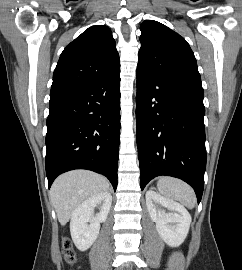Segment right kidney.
Here are the masks:
<instances>
[{
    "mask_svg": "<svg viewBox=\"0 0 242 270\" xmlns=\"http://www.w3.org/2000/svg\"><path fill=\"white\" fill-rule=\"evenodd\" d=\"M111 203L112 196L106 191L89 197L74 210L70 221V232L79 250L85 251L95 242L100 223L106 221ZM97 205L101 206V209L94 215V208Z\"/></svg>",
    "mask_w": 242,
    "mask_h": 270,
    "instance_id": "right-kidney-1",
    "label": "right kidney"
}]
</instances>
